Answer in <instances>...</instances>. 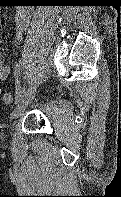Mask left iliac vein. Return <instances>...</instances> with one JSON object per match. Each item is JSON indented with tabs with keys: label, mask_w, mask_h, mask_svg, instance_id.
Wrapping results in <instances>:
<instances>
[{
	"label": "left iliac vein",
	"mask_w": 121,
	"mask_h": 197,
	"mask_svg": "<svg viewBox=\"0 0 121 197\" xmlns=\"http://www.w3.org/2000/svg\"><path fill=\"white\" fill-rule=\"evenodd\" d=\"M36 89L37 86L32 85L26 91H24L23 95L21 96L15 108L13 109V112L11 114L12 119H17L22 115L29 103L33 100Z\"/></svg>",
	"instance_id": "4c4485c4"
}]
</instances>
